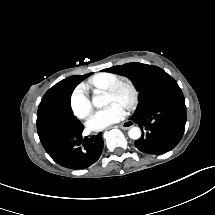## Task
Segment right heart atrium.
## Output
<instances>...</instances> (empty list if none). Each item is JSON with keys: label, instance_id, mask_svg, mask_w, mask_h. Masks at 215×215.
<instances>
[{"label": "right heart atrium", "instance_id": "obj_1", "mask_svg": "<svg viewBox=\"0 0 215 215\" xmlns=\"http://www.w3.org/2000/svg\"><path fill=\"white\" fill-rule=\"evenodd\" d=\"M72 108L80 117H87L89 115V103L83 91H76L74 93Z\"/></svg>", "mask_w": 215, "mask_h": 215}]
</instances>
